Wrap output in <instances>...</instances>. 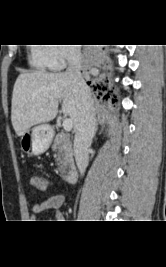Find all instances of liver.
Listing matches in <instances>:
<instances>
[{
  "instance_id": "6515ba94",
  "label": "liver",
  "mask_w": 166,
  "mask_h": 267,
  "mask_svg": "<svg viewBox=\"0 0 166 267\" xmlns=\"http://www.w3.org/2000/svg\"><path fill=\"white\" fill-rule=\"evenodd\" d=\"M62 100V112L74 129L79 123L82 95L65 73H21L13 88L11 121L18 136L32 126L52 121Z\"/></svg>"
}]
</instances>
